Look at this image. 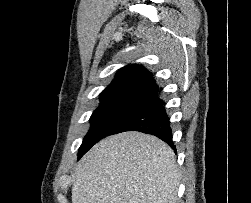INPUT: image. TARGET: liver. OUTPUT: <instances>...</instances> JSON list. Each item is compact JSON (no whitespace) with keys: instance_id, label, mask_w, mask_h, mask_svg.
I'll return each instance as SVG.
<instances>
[{"instance_id":"obj_1","label":"liver","mask_w":251,"mask_h":203,"mask_svg":"<svg viewBox=\"0 0 251 203\" xmlns=\"http://www.w3.org/2000/svg\"><path fill=\"white\" fill-rule=\"evenodd\" d=\"M180 175L163 141L140 132L109 136L77 165L72 203H177Z\"/></svg>"}]
</instances>
